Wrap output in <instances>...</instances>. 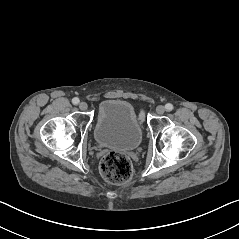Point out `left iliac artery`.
<instances>
[{
	"label": "left iliac artery",
	"mask_w": 239,
	"mask_h": 239,
	"mask_svg": "<svg viewBox=\"0 0 239 239\" xmlns=\"http://www.w3.org/2000/svg\"><path fill=\"white\" fill-rule=\"evenodd\" d=\"M165 109H166V111H172L173 110V105L171 104V103H167L166 105H165Z\"/></svg>",
	"instance_id": "44dca946"
}]
</instances>
